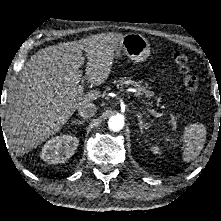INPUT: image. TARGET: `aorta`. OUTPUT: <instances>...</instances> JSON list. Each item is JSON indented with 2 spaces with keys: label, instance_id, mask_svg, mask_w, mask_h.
<instances>
[{
  "label": "aorta",
  "instance_id": "1",
  "mask_svg": "<svg viewBox=\"0 0 221 221\" xmlns=\"http://www.w3.org/2000/svg\"><path fill=\"white\" fill-rule=\"evenodd\" d=\"M108 127L114 132L120 131L124 127V117L122 115L111 116L108 121Z\"/></svg>",
  "mask_w": 221,
  "mask_h": 221
}]
</instances>
